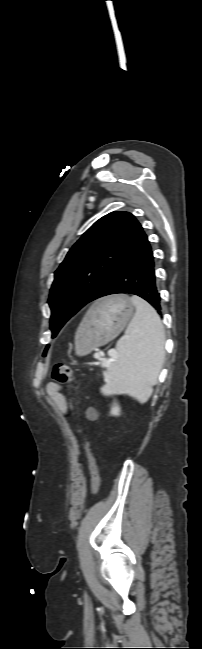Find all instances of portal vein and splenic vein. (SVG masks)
Here are the masks:
<instances>
[{"label": "portal vein and splenic vein", "mask_w": 202, "mask_h": 649, "mask_svg": "<svg viewBox=\"0 0 202 649\" xmlns=\"http://www.w3.org/2000/svg\"><path fill=\"white\" fill-rule=\"evenodd\" d=\"M109 355H110V356H112V357H114V356H115V355H114V354H113L112 352H109ZM96 357H97L98 359H100V360H103V361H105V359H104V358H100V356H99V355H96Z\"/></svg>", "instance_id": "portal-vein-and-splenic-vein-1"}]
</instances>
